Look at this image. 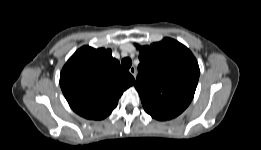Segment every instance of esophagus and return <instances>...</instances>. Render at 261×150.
Returning <instances> with one entry per match:
<instances>
[{
    "label": "esophagus",
    "instance_id": "obj_1",
    "mask_svg": "<svg viewBox=\"0 0 261 150\" xmlns=\"http://www.w3.org/2000/svg\"><path fill=\"white\" fill-rule=\"evenodd\" d=\"M129 72L133 77L136 76V68L134 66L130 67Z\"/></svg>",
    "mask_w": 261,
    "mask_h": 150
}]
</instances>
